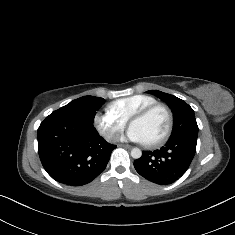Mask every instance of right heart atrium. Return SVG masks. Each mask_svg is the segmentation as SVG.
<instances>
[{
    "instance_id": "right-heart-atrium-1",
    "label": "right heart atrium",
    "mask_w": 235,
    "mask_h": 235,
    "mask_svg": "<svg viewBox=\"0 0 235 235\" xmlns=\"http://www.w3.org/2000/svg\"><path fill=\"white\" fill-rule=\"evenodd\" d=\"M92 122L100 135L106 139H111L116 133L126 128L128 120L115 114L109 104L93 115Z\"/></svg>"
}]
</instances>
